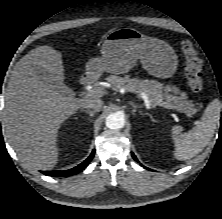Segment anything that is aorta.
<instances>
[{
	"label": "aorta",
	"mask_w": 222,
	"mask_h": 219,
	"mask_svg": "<svg viewBox=\"0 0 222 219\" xmlns=\"http://www.w3.org/2000/svg\"><path fill=\"white\" fill-rule=\"evenodd\" d=\"M105 123L109 129H121L125 125V119L120 113H112L107 116Z\"/></svg>",
	"instance_id": "762f6f07"
}]
</instances>
